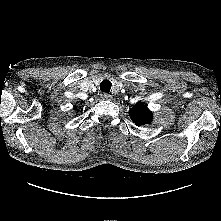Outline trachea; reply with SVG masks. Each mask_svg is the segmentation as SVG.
I'll use <instances>...</instances> for the list:
<instances>
[{"mask_svg": "<svg viewBox=\"0 0 221 221\" xmlns=\"http://www.w3.org/2000/svg\"><path fill=\"white\" fill-rule=\"evenodd\" d=\"M111 82L109 80H103L101 83H100V90L102 92H105V93H109L110 92V89H111Z\"/></svg>", "mask_w": 221, "mask_h": 221, "instance_id": "3493384b", "label": "trachea"}]
</instances>
